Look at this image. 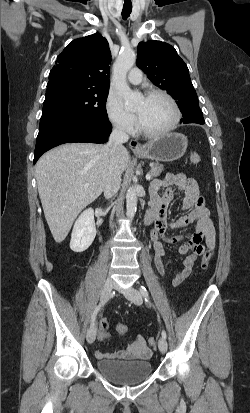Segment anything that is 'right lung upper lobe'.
Segmentation results:
<instances>
[{
  "instance_id": "cb5924a9",
  "label": "right lung upper lobe",
  "mask_w": 250,
  "mask_h": 413,
  "mask_svg": "<svg viewBox=\"0 0 250 413\" xmlns=\"http://www.w3.org/2000/svg\"><path fill=\"white\" fill-rule=\"evenodd\" d=\"M110 61L109 44L101 34L75 39L57 57L46 91L62 85L109 89Z\"/></svg>"
}]
</instances>
